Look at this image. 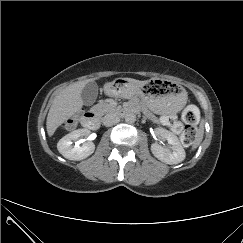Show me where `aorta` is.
<instances>
[{"mask_svg":"<svg viewBox=\"0 0 243 243\" xmlns=\"http://www.w3.org/2000/svg\"><path fill=\"white\" fill-rule=\"evenodd\" d=\"M126 123L133 124L136 121V115L134 113H128L125 115Z\"/></svg>","mask_w":243,"mask_h":243,"instance_id":"762f6f07","label":"aorta"}]
</instances>
